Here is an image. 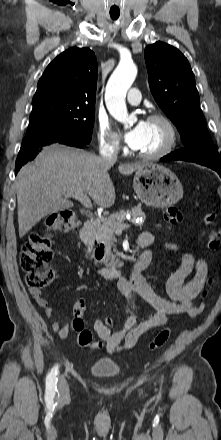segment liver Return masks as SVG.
Segmentation results:
<instances>
[{"label":"liver","instance_id":"obj_1","mask_svg":"<svg viewBox=\"0 0 221 440\" xmlns=\"http://www.w3.org/2000/svg\"><path fill=\"white\" fill-rule=\"evenodd\" d=\"M113 164L81 149L60 144L44 147L34 162L23 166L17 175L19 237L45 216L72 208L68 193H86L100 207H111L115 188L108 170ZM143 165L120 164L118 171L130 175Z\"/></svg>","mask_w":221,"mask_h":440}]
</instances>
